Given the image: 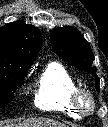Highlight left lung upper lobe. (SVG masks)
I'll return each instance as SVG.
<instances>
[{
    "instance_id": "1",
    "label": "left lung upper lobe",
    "mask_w": 108,
    "mask_h": 127,
    "mask_svg": "<svg viewBox=\"0 0 108 127\" xmlns=\"http://www.w3.org/2000/svg\"><path fill=\"white\" fill-rule=\"evenodd\" d=\"M50 40L54 51L65 61L85 72H96V67L92 65L94 56L90 45L77 29L56 28L51 32ZM95 82L99 91V78L96 74Z\"/></svg>"
}]
</instances>
